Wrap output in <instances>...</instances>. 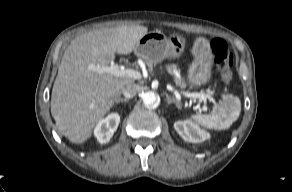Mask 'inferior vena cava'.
<instances>
[{"mask_svg":"<svg viewBox=\"0 0 292 192\" xmlns=\"http://www.w3.org/2000/svg\"><path fill=\"white\" fill-rule=\"evenodd\" d=\"M138 91L139 87L136 84L131 83L125 86L122 93L126 98H132L138 93Z\"/></svg>","mask_w":292,"mask_h":192,"instance_id":"inferior-vena-cava-1","label":"inferior vena cava"}]
</instances>
